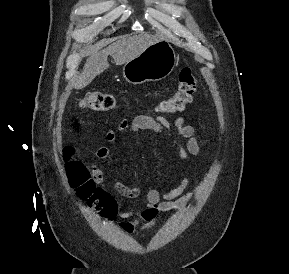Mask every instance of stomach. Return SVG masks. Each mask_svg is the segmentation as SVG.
<instances>
[{
    "mask_svg": "<svg viewBox=\"0 0 289 274\" xmlns=\"http://www.w3.org/2000/svg\"><path fill=\"white\" fill-rule=\"evenodd\" d=\"M177 57L169 42L160 40L125 63L123 77L131 84L160 81L173 71Z\"/></svg>",
    "mask_w": 289,
    "mask_h": 274,
    "instance_id": "obj_1",
    "label": "stomach"
}]
</instances>
